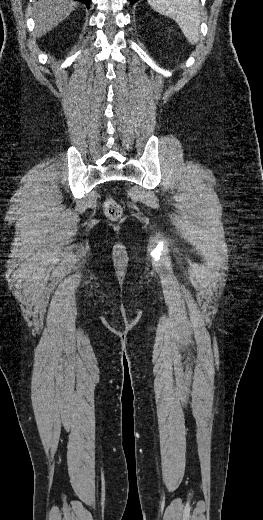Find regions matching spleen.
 Masks as SVG:
<instances>
[{"instance_id":"obj_1","label":"spleen","mask_w":263,"mask_h":520,"mask_svg":"<svg viewBox=\"0 0 263 520\" xmlns=\"http://www.w3.org/2000/svg\"><path fill=\"white\" fill-rule=\"evenodd\" d=\"M158 13L172 18L189 43L196 44L200 36L198 0H147Z\"/></svg>"}]
</instances>
